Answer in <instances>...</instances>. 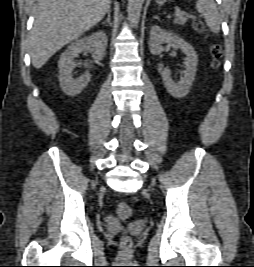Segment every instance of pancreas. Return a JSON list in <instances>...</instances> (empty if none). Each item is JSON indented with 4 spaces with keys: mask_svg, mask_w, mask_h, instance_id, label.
<instances>
[{
    "mask_svg": "<svg viewBox=\"0 0 254 267\" xmlns=\"http://www.w3.org/2000/svg\"><path fill=\"white\" fill-rule=\"evenodd\" d=\"M187 21V18L184 17V16H178L175 20H174V23L175 24H178V25H184Z\"/></svg>",
    "mask_w": 254,
    "mask_h": 267,
    "instance_id": "obj_1",
    "label": "pancreas"
}]
</instances>
